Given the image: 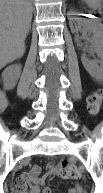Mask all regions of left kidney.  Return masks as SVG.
I'll list each match as a JSON object with an SVG mask.
<instances>
[{
  "mask_svg": "<svg viewBox=\"0 0 103 193\" xmlns=\"http://www.w3.org/2000/svg\"><path fill=\"white\" fill-rule=\"evenodd\" d=\"M70 28L74 31L73 23L77 22L85 28V31L91 33V48L96 52L98 60H90L85 55L82 56L81 61L86 71L95 79L99 80L103 77V36L102 27L96 21L86 20L75 16L82 15L76 11L68 12ZM100 64V65H99Z\"/></svg>",
  "mask_w": 103,
  "mask_h": 193,
  "instance_id": "1",
  "label": "left kidney"
}]
</instances>
